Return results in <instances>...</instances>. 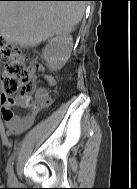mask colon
Instances as JSON below:
<instances>
[{
	"label": "colon",
	"instance_id": "1",
	"mask_svg": "<svg viewBox=\"0 0 137 189\" xmlns=\"http://www.w3.org/2000/svg\"><path fill=\"white\" fill-rule=\"evenodd\" d=\"M0 60L6 63L0 76V102L13 96H25L27 105L35 109L37 100L32 70L38 66L37 60L24 58L16 46L3 36H0Z\"/></svg>",
	"mask_w": 137,
	"mask_h": 189
}]
</instances>
